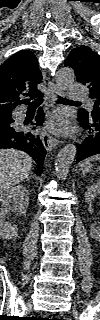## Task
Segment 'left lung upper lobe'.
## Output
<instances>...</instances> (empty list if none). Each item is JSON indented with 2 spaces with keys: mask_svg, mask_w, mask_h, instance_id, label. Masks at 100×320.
I'll use <instances>...</instances> for the list:
<instances>
[{
  "mask_svg": "<svg viewBox=\"0 0 100 320\" xmlns=\"http://www.w3.org/2000/svg\"><path fill=\"white\" fill-rule=\"evenodd\" d=\"M65 66L72 67L77 81L90 88V98L94 101L92 111L81 109L80 115L95 117L100 115V56L87 46L73 49L65 60Z\"/></svg>",
  "mask_w": 100,
  "mask_h": 320,
  "instance_id": "left-lung-upper-lobe-1",
  "label": "left lung upper lobe"
}]
</instances>
